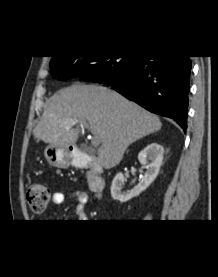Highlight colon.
Segmentation results:
<instances>
[{
    "label": "colon",
    "mask_w": 218,
    "mask_h": 277,
    "mask_svg": "<svg viewBox=\"0 0 218 277\" xmlns=\"http://www.w3.org/2000/svg\"><path fill=\"white\" fill-rule=\"evenodd\" d=\"M26 197L30 209L42 213L49 202L50 190L44 184H32L27 189Z\"/></svg>",
    "instance_id": "colon-1"
}]
</instances>
